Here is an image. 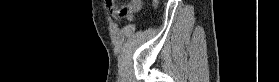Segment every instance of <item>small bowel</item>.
Segmentation results:
<instances>
[{"instance_id": "obj_1", "label": "small bowel", "mask_w": 279, "mask_h": 82, "mask_svg": "<svg viewBox=\"0 0 279 82\" xmlns=\"http://www.w3.org/2000/svg\"><path fill=\"white\" fill-rule=\"evenodd\" d=\"M106 5L112 17L116 20L131 19L141 9V6L136 7L133 3H129L127 6H120L112 1H106Z\"/></svg>"}]
</instances>
